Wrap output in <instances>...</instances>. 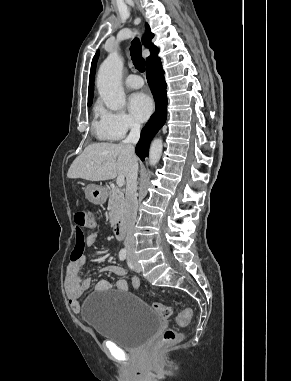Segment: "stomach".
<instances>
[{
  "label": "stomach",
  "mask_w": 291,
  "mask_h": 381,
  "mask_svg": "<svg viewBox=\"0 0 291 381\" xmlns=\"http://www.w3.org/2000/svg\"><path fill=\"white\" fill-rule=\"evenodd\" d=\"M86 198L93 204H103L106 201V193L101 186L89 184L85 188Z\"/></svg>",
  "instance_id": "0dacf381"
}]
</instances>
